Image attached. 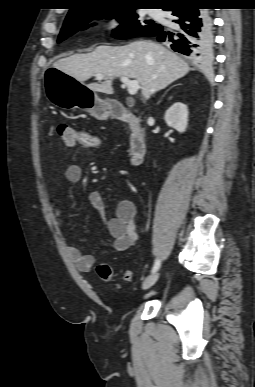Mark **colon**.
Instances as JSON below:
<instances>
[{"mask_svg": "<svg viewBox=\"0 0 255 387\" xmlns=\"http://www.w3.org/2000/svg\"><path fill=\"white\" fill-rule=\"evenodd\" d=\"M57 134L66 147H73L77 142L86 146L97 147L103 144L101 137L91 134L85 130L74 127L73 125L62 123L57 127ZM96 272L100 279L106 282L113 281L114 273L111 266L107 263H100L96 267ZM134 274L131 271H125L123 279L127 282L133 281Z\"/></svg>", "mask_w": 255, "mask_h": 387, "instance_id": "colon-1", "label": "colon"}]
</instances>
